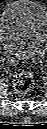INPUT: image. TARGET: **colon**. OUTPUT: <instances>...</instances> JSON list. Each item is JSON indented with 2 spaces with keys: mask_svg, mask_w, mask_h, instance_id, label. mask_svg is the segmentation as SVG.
<instances>
[{
  "mask_svg": "<svg viewBox=\"0 0 47 129\" xmlns=\"http://www.w3.org/2000/svg\"><path fill=\"white\" fill-rule=\"evenodd\" d=\"M34 85V79L29 72H20L13 80V87L16 92L25 94L28 93Z\"/></svg>",
  "mask_w": 47,
  "mask_h": 129,
  "instance_id": "obj_1",
  "label": "colon"
}]
</instances>
